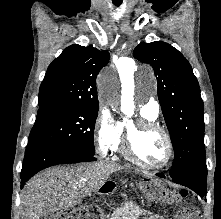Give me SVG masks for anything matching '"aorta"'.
<instances>
[{
	"instance_id": "762f6f07",
	"label": "aorta",
	"mask_w": 221,
	"mask_h": 219,
	"mask_svg": "<svg viewBox=\"0 0 221 219\" xmlns=\"http://www.w3.org/2000/svg\"><path fill=\"white\" fill-rule=\"evenodd\" d=\"M121 69L128 74H132L135 69V64L132 59L125 58L121 62ZM116 80L113 75L103 74L100 78V93L101 97L110 101L118 103L121 102V110L127 116L133 115L134 102L132 95L127 98L119 99L116 93Z\"/></svg>"
}]
</instances>
